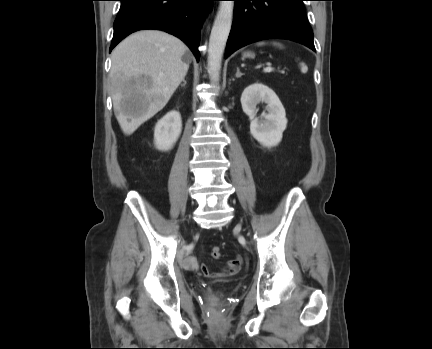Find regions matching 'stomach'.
I'll use <instances>...</instances> for the list:
<instances>
[{"instance_id":"stomach-1","label":"stomach","mask_w":432,"mask_h":349,"mask_svg":"<svg viewBox=\"0 0 432 349\" xmlns=\"http://www.w3.org/2000/svg\"><path fill=\"white\" fill-rule=\"evenodd\" d=\"M243 56H244V57L252 58V57L254 56V54L251 53V52H245V53H243Z\"/></svg>"}]
</instances>
